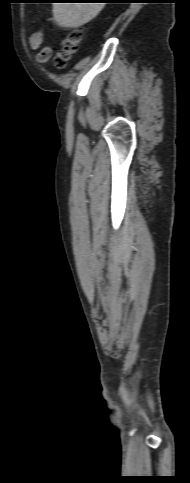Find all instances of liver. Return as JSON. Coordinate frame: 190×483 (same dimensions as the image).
Here are the masks:
<instances>
[{"mask_svg":"<svg viewBox=\"0 0 190 483\" xmlns=\"http://www.w3.org/2000/svg\"><path fill=\"white\" fill-rule=\"evenodd\" d=\"M105 3H53V16L63 27L77 28L92 19L103 9Z\"/></svg>","mask_w":190,"mask_h":483,"instance_id":"obj_1","label":"liver"}]
</instances>
